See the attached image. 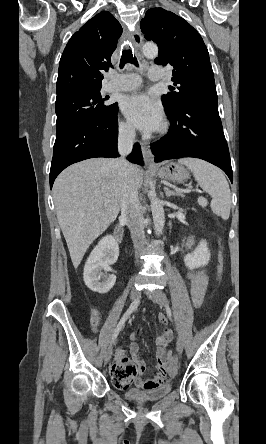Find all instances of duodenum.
Returning <instances> with one entry per match:
<instances>
[{"label":"duodenum","mask_w":266,"mask_h":444,"mask_svg":"<svg viewBox=\"0 0 266 444\" xmlns=\"http://www.w3.org/2000/svg\"><path fill=\"white\" fill-rule=\"evenodd\" d=\"M122 234H123L122 229L120 227H118L115 231V236H116L117 240H121Z\"/></svg>","instance_id":"1"}]
</instances>
